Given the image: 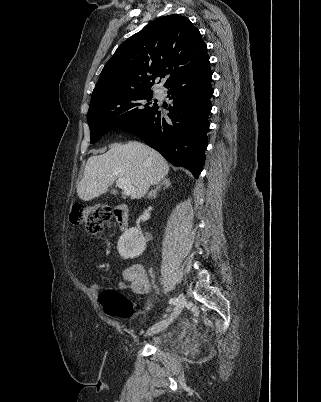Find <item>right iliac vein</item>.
Masks as SVG:
<instances>
[{
	"mask_svg": "<svg viewBox=\"0 0 321 402\" xmlns=\"http://www.w3.org/2000/svg\"><path fill=\"white\" fill-rule=\"evenodd\" d=\"M185 304V298L184 296L181 294L179 296V301L175 304V307L173 309V312L171 313L170 318L165 319L157 324H155L154 326H152L150 329L147 330L146 332V336H152L155 335L163 330H165L171 322L174 321V319H176L178 317V315L181 313L183 307Z\"/></svg>",
	"mask_w": 321,
	"mask_h": 402,
	"instance_id": "obj_1",
	"label": "right iliac vein"
}]
</instances>
